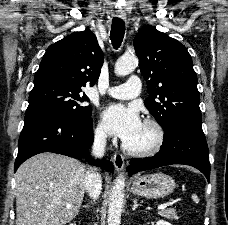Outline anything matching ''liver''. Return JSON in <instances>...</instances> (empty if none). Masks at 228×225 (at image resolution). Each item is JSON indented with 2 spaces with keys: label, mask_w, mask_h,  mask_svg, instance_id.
<instances>
[{
  "label": "liver",
  "mask_w": 228,
  "mask_h": 225,
  "mask_svg": "<svg viewBox=\"0 0 228 225\" xmlns=\"http://www.w3.org/2000/svg\"><path fill=\"white\" fill-rule=\"evenodd\" d=\"M87 171L76 159L41 153L19 167L15 225H67L79 213ZM71 205V207H66Z\"/></svg>",
  "instance_id": "obj_1"
}]
</instances>
